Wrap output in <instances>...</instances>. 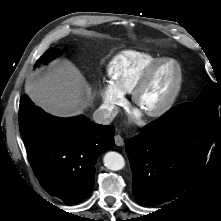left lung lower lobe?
<instances>
[{"instance_id":"0a47b994","label":"left lung lower lobe","mask_w":221,"mask_h":221,"mask_svg":"<svg viewBox=\"0 0 221 221\" xmlns=\"http://www.w3.org/2000/svg\"><path fill=\"white\" fill-rule=\"evenodd\" d=\"M167 112L126 145L133 195L143 206L168 202L199 172L221 128L180 125ZM217 137V139H218Z\"/></svg>"}]
</instances>
